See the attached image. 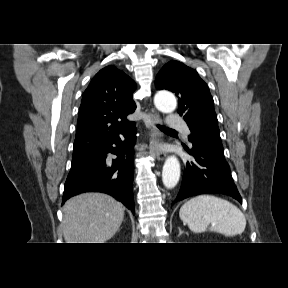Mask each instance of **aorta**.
I'll list each match as a JSON object with an SVG mask.
<instances>
[{
	"mask_svg": "<svg viewBox=\"0 0 288 288\" xmlns=\"http://www.w3.org/2000/svg\"><path fill=\"white\" fill-rule=\"evenodd\" d=\"M154 104L163 113H171L176 109L177 101L169 92H159L155 95ZM180 178V163L176 156H169L163 166L162 181L167 189L174 188Z\"/></svg>",
	"mask_w": 288,
	"mask_h": 288,
	"instance_id": "obj_1",
	"label": "aorta"
}]
</instances>
